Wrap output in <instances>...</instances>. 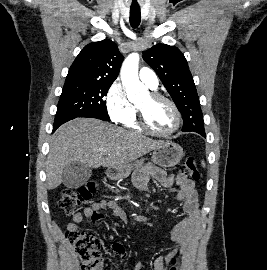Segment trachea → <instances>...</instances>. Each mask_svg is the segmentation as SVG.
I'll return each mask as SVG.
<instances>
[{
  "label": "trachea",
  "mask_w": 267,
  "mask_h": 270,
  "mask_svg": "<svg viewBox=\"0 0 267 270\" xmlns=\"http://www.w3.org/2000/svg\"><path fill=\"white\" fill-rule=\"evenodd\" d=\"M141 21L140 7L130 8V25L133 28H137Z\"/></svg>",
  "instance_id": "3493384b"
}]
</instances>
